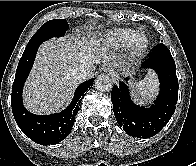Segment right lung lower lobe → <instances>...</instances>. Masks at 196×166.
<instances>
[{"label": "right lung lower lobe", "mask_w": 196, "mask_h": 166, "mask_svg": "<svg viewBox=\"0 0 196 166\" xmlns=\"http://www.w3.org/2000/svg\"><path fill=\"white\" fill-rule=\"evenodd\" d=\"M39 45L26 47L16 70L12 86V111L16 123L22 132L40 145L56 144L65 139L73 127L79 103L84 94L93 85L90 79L79 85L71 104L60 113L51 115H34L22 104V89L32 68Z\"/></svg>", "instance_id": "98d812e1"}]
</instances>
